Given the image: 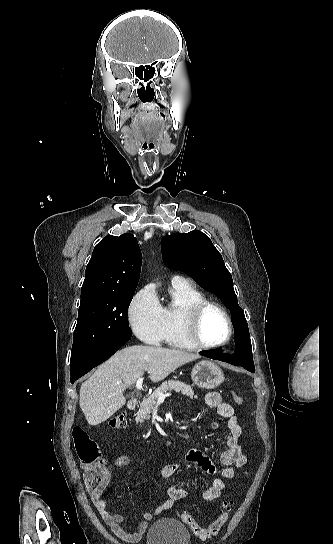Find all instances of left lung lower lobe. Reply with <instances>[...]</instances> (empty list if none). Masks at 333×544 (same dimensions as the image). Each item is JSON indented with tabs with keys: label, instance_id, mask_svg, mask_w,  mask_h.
Wrapping results in <instances>:
<instances>
[{
	"label": "left lung lower lobe",
	"instance_id": "left-lung-lower-lobe-1",
	"mask_svg": "<svg viewBox=\"0 0 333 544\" xmlns=\"http://www.w3.org/2000/svg\"><path fill=\"white\" fill-rule=\"evenodd\" d=\"M240 352H242L241 347L237 348L232 356L223 354L221 349L202 351L200 354L215 360L225 361L233 365H240L250 372H255L254 363H247L237 359V354Z\"/></svg>",
	"mask_w": 333,
	"mask_h": 544
}]
</instances>
